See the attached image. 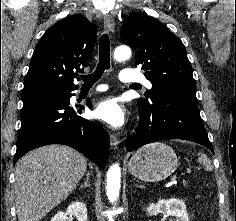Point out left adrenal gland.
Instances as JSON below:
<instances>
[{"label": "left adrenal gland", "instance_id": "a2214340", "mask_svg": "<svg viewBox=\"0 0 236 221\" xmlns=\"http://www.w3.org/2000/svg\"><path fill=\"white\" fill-rule=\"evenodd\" d=\"M136 187H138V188H144V186L139 185V184H136Z\"/></svg>", "mask_w": 236, "mask_h": 221}]
</instances>
